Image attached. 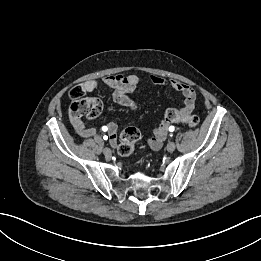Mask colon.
<instances>
[{
	"mask_svg": "<svg viewBox=\"0 0 261 261\" xmlns=\"http://www.w3.org/2000/svg\"><path fill=\"white\" fill-rule=\"evenodd\" d=\"M84 91L80 85H76L69 91V96L74 100L70 110L77 116L96 118L102 111V103L98 99L84 98ZM164 119L166 123L183 122L189 127H196L199 124V117L195 114H182L180 111L169 108L166 110ZM140 139V132L136 127L125 128L121 135L117 151L121 156L131 155Z\"/></svg>",
	"mask_w": 261,
	"mask_h": 261,
	"instance_id": "1",
	"label": "colon"
}]
</instances>
